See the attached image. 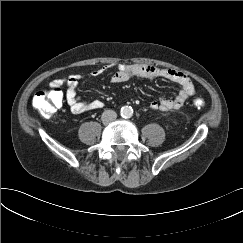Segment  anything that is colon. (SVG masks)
I'll use <instances>...</instances> for the list:
<instances>
[{
    "instance_id": "5ec220e1",
    "label": "colon",
    "mask_w": 243,
    "mask_h": 243,
    "mask_svg": "<svg viewBox=\"0 0 243 243\" xmlns=\"http://www.w3.org/2000/svg\"><path fill=\"white\" fill-rule=\"evenodd\" d=\"M63 94L60 88H54L46 91L38 92L32 100V104L43 117L49 118L53 116L61 107ZM193 104L198 108H203L205 102L201 98H196Z\"/></svg>"
}]
</instances>
